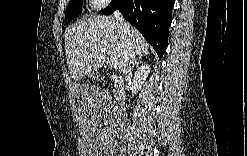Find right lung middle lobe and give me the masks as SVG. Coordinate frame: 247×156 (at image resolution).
<instances>
[{"label": "right lung middle lobe", "mask_w": 247, "mask_h": 156, "mask_svg": "<svg viewBox=\"0 0 247 156\" xmlns=\"http://www.w3.org/2000/svg\"><path fill=\"white\" fill-rule=\"evenodd\" d=\"M81 2L82 0H71L68 3V6L66 8L65 12V19H70L72 17L78 16L82 12L81 8Z\"/></svg>", "instance_id": "right-lung-middle-lobe-1"}]
</instances>
